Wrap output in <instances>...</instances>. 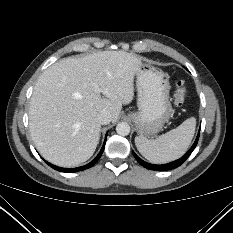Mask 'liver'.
<instances>
[{
	"instance_id": "liver-1",
	"label": "liver",
	"mask_w": 233,
	"mask_h": 233,
	"mask_svg": "<svg viewBox=\"0 0 233 233\" xmlns=\"http://www.w3.org/2000/svg\"><path fill=\"white\" fill-rule=\"evenodd\" d=\"M141 58L125 51H99L65 58L39 77L30 101L29 129L44 159L76 167L95 152L98 115L118 119L122 104L134 97V75ZM101 94L103 96H101Z\"/></svg>"
}]
</instances>
